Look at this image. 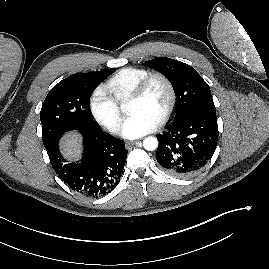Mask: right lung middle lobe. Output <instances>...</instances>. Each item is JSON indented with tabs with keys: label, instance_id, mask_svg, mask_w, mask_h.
<instances>
[{
	"label": "right lung middle lobe",
	"instance_id": "right-lung-middle-lobe-1",
	"mask_svg": "<svg viewBox=\"0 0 269 269\" xmlns=\"http://www.w3.org/2000/svg\"><path fill=\"white\" fill-rule=\"evenodd\" d=\"M113 72L107 69L73 74L50 90L40 112L44 146L66 131L99 128L89 111V97Z\"/></svg>",
	"mask_w": 269,
	"mask_h": 269
}]
</instances>
